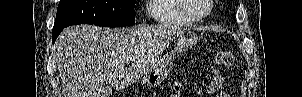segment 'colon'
I'll return each mask as SVG.
<instances>
[{
    "instance_id": "colon-1",
    "label": "colon",
    "mask_w": 302,
    "mask_h": 97,
    "mask_svg": "<svg viewBox=\"0 0 302 97\" xmlns=\"http://www.w3.org/2000/svg\"><path fill=\"white\" fill-rule=\"evenodd\" d=\"M214 63L216 67H229L235 63V55L230 51H220L214 56ZM224 82V78L218 69L213 71V79L208 86V91L213 93L219 90Z\"/></svg>"
}]
</instances>
